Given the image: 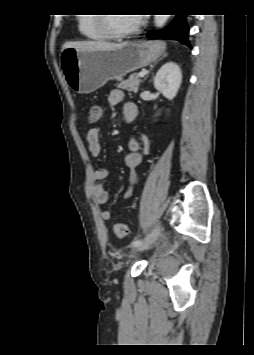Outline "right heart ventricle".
Instances as JSON below:
<instances>
[{
    "label": "right heart ventricle",
    "mask_w": 254,
    "mask_h": 355,
    "mask_svg": "<svg viewBox=\"0 0 254 355\" xmlns=\"http://www.w3.org/2000/svg\"><path fill=\"white\" fill-rule=\"evenodd\" d=\"M98 15V14H94ZM94 15H83L78 18V29L80 33L91 40H102L105 36L99 31L97 17Z\"/></svg>",
    "instance_id": "obj_1"
}]
</instances>
